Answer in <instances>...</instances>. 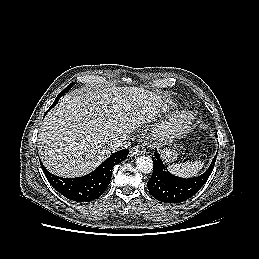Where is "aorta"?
Instances as JSON below:
<instances>
[{
  "mask_svg": "<svg viewBox=\"0 0 259 259\" xmlns=\"http://www.w3.org/2000/svg\"><path fill=\"white\" fill-rule=\"evenodd\" d=\"M137 168L142 173H150L153 170V161L149 156H140L136 159Z\"/></svg>",
  "mask_w": 259,
  "mask_h": 259,
  "instance_id": "1",
  "label": "aorta"
}]
</instances>
